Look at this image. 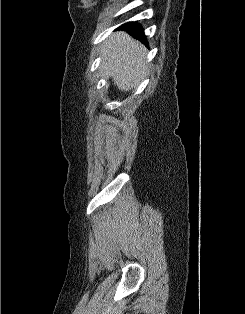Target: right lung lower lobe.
<instances>
[{"label":"right lung lower lobe","mask_w":245,"mask_h":314,"mask_svg":"<svg viewBox=\"0 0 245 314\" xmlns=\"http://www.w3.org/2000/svg\"><path fill=\"white\" fill-rule=\"evenodd\" d=\"M120 28L127 30L133 37L147 44L143 29L139 24L135 22H129L123 24Z\"/></svg>","instance_id":"right-lung-lower-lobe-1"}]
</instances>
